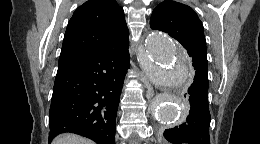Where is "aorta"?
Instances as JSON below:
<instances>
[{
  "mask_svg": "<svg viewBox=\"0 0 260 144\" xmlns=\"http://www.w3.org/2000/svg\"><path fill=\"white\" fill-rule=\"evenodd\" d=\"M141 66L155 85L174 89L172 93L157 95L151 104L157 121L174 124L185 115L181 89L188 81L190 61L187 54L166 34L153 31L143 45Z\"/></svg>",
  "mask_w": 260,
  "mask_h": 144,
  "instance_id": "1",
  "label": "aorta"
}]
</instances>
